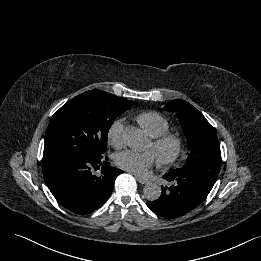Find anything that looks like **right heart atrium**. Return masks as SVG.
<instances>
[{"label": "right heart atrium", "mask_w": 261, "mask_h": 261, "mask_svg": "<svg viewBox=\"0 0 261 261\" xmlns=\"http://www.w3.org/2000/svg\"><path fill=\"white\" fill-rule=\"evenodd\" d=\"M108 143L115 147L121 148L124 144L123 123L121 120H114L108 127L106 133Z\"/></svg>", "instance_id": "obj_1"}]
</instances>
